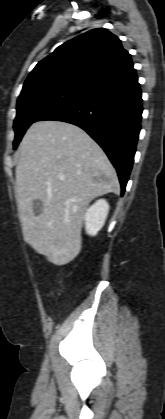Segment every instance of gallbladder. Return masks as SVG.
<instances>
[{
    "label": "gallbladder",
    "instance_id": "obj_1",
    "mask_svg": "<svg viewBox=\"0 0 165 419\" xmlns=\"http://www.w3.org/2000/svg\"><path fill=\"white\" fill-rule=\"evenodd\" d=\"M33 212L35 215H39L43 211V204L40 200H34L32 204Z\"/></svg>",
    "mask_w": 165,
    "mask_h": 419
}]
</instances>
